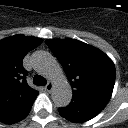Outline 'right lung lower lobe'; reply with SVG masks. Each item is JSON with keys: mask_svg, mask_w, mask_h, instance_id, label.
Returning a JSON list of instances; mask_svg holds the SVG:
<instances>
[{"mask_svg": "<svg viewBox=\"0 0 128 128\" xmlns=\"http://www.w3.org/2000/svg\"><path fill=\"white\" fill-rule=\"evenodd\" d=\"M35 98L36 96L28 99L9 114L0 117V122L13 124L24 119L29 114Z\"/></svg>", "mask_w": 128, "mask_h": 128, "instance_id": "obj_1", "label": "right lung lower lobe"}]
</instances>
